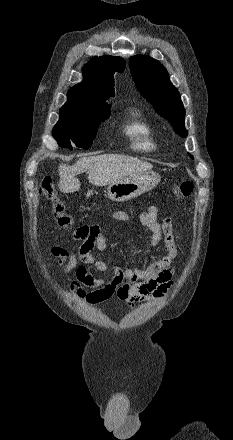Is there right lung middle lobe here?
<instances>
[{
    "instance_id": "dd1d6c3e",
    "label": "right lung middle lobe",
    "mask_w": 233,
    "mask_h": 440,
    "mask_svg": "<svg viewBox=\"0 0 233 440\" xmlns=\"http://www.w3.org/2000/svg\"><path fill=\"white\" fill-rule=\"evenodd\" d=\"M59 121L52 130L53 137L61 147L88 149L101 121L110 116V108L96 106H67L59 111Z\"/></svg>"
}]
</instances>
